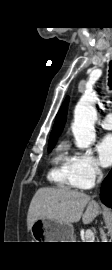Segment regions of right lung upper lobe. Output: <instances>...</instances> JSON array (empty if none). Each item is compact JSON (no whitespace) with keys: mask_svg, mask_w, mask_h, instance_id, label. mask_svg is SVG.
<instances>
[{"mask_svg":"<svg viewBox=\"0 0 112 270\" xmlns=\"http://www.w3.org/2000/svg\"><path fill=\"white\" fill-rule=\"evenodd\" d=\"M68 98L63 102L58 114L56 115V120L54 123V127L52 129L49 143L50 142H56L58 136L61 134L65 121H66V112H67V106H68Z\"/></svg>","mask_w":112,"mask_h":270,"instance_id":"obj_1","label":"right lung upper lobe"}]
</instances>
